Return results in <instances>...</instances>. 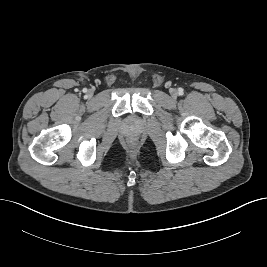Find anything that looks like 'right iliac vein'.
<instances>
[{"mask_svg":"<svg viewBox=\"0 0 267 267\" xmlns=\"http://www.w3.org/2000/svg\"><path fill=\"white\" fill-rule=\"evenodd\" d=\"M93 92L92 91H88V96H92Z\"/></svg>","mask_w":267,"mask_h":267,"instance_id":"obj_1","label":"right iliac vein"}]
</instances>
